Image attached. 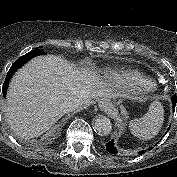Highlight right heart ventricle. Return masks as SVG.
I'll list each match as a JSON object with an SVG mask.
<instances>
[{
	"mask_svg": "<svg viewBox=\"0 0 177 177\" xmlns=\"http://www.w3.org/2000/svg\"><path fill=\"white\" fill-rule=\"evenodd\" d=\"M109 76L115 80H118V81H122L126 78H131V77H137V78L142 79L143 81L149 80L137 71H128V70L118 69V68L111 69L109 71ZM149 81H151V80H149Z\"/></svg>",
	"mask_w": 177,
	"mask_h": 177,
	"instance_id": "1",
	"label": "right heart ventricle"
}]
</instances>
